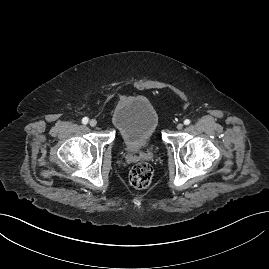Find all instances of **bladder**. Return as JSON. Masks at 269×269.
<instances>
[{
  "instance_id": "obj_1",
  "label": "bladder",
  "mask_w": 269,
  "mask_h": 269,
  "mask_svg": "<svg viewBox=\"0 0 269 269\" xmlns=\"http://www.w3.org/2000/svg\"><path fill=\"white\" fill-rule=\"evenodd\" d=\"M111 120L122 144L129 149L146 145L155 135L159 124L154 106L143 96L122 100L114 108Z\"/></svg>"
}]
</instances>
